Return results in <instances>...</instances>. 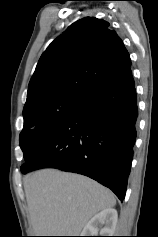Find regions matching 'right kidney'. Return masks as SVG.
I'll use <instances>...</instances> for the list:
<instances>
[{
  "label": "right kidney",
  "instance_id": "1",
  "mask_svg": "<svg viewBox=\"0 0 158 237\" xmlns=\"http://www.w3.org/2000/svg\"><path fill=\"white\" fill-rule=\"evenodd\" d=\"M117 219L118 214L115 209H104L89 220L80 236H113Z\"/></svg>",
  "mask_w": 158,
  "mask_h": 237
}]
</instances>
